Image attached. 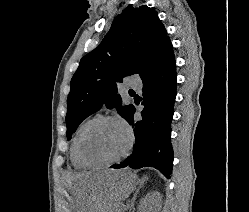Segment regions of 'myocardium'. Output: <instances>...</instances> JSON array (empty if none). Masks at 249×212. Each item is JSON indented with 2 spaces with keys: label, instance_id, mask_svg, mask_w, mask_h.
Returning <instances> with one entry per match:
<instances>
[{
  "label": "myocardium",
  "instance_id": "obj_1",
  "mask_svg": "<svg viewBox=\"0 0 249 212\" xmlns=\"http://www.w3.org/2000/svg\"><path fill=\"white\" fill-rule=\"evenodd\" d=\"M105 122L116 123V124L120 125L125 130V132L127 134V145H126L125 149L117 157H115L111 160L103 161V162L89 161L88 159H86V157L84 156L83 151H82L83 142H84L86 136L88 135V133L94 127H96L97 125H99L101 123H105ZM133 144H134V134H133L132 128L125 120H123L122 118L117 117V116H110V115L98 116V117L94 118L93 120H91L81 131V133L77 139V142H76V156H77L79 162L85 167H90V168L109 167L111 165H114V164L120 162L122 159H124L131 151Z\"/></svg>",
  "mask_w": 249,
  "mask_h": 212
}]
</instances>
